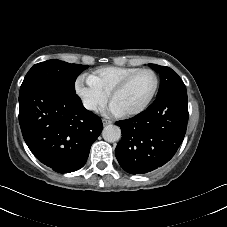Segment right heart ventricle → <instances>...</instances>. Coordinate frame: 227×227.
<instances>
[{"label": "right heart ventricle", "instance_id": "1", "mask_svg": "<svg viewBox=\"0 0 227 227\" xmlns=\"http://www.w3.org/2000/svg\"><path fill=\"white\" fill-rule=\"evenodd\" d=\"M140 69L138 67H103L96 70L89 78L110 94L116 85Z\"/></svg>", "mask_w": 227, "mask_h": 227}]
</instances>
